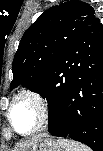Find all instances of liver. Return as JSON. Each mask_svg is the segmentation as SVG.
I'll list each match as a JSON object with an SVG mask.
<instances>
[{
    "instance_id": "obj_1",
    "label": "liver",
    "mask_w": 103,
    "mask_h": 151,
    "mask_svg": "<svg viewBox=\"0 0 103 151\" xmlns=\"http://www.w3.org/2000/svg\"><path fill=\"white\" fill-rule=\"evenodd\" d=\"M33 139H34V138H33ZM33 139H32V140H33ZM30 141H31V140H30ZM30 141H28V142H26V143L20 145V148H18L16 151H24V150L27 148V146H28V144H29Z\"/></svg>"
}]
</instances>
